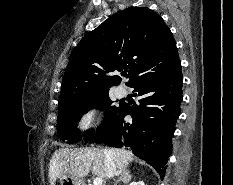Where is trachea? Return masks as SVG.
<instances>
[{
	"instance_id": "3493384b",
	"label": "trachea",
	"mask_w": 233,
	"mask_h": 185,
	"mask_svg": "<svg viewBox=\"0 0 233 185\" xmlns=\"http://www.w3.org/2000/svg\"><path fill=\"white\" fill-rule=\"evenodd\" d=\"M123 75L126 76L127 75L126 72Z\"/></svg>"
}]
</instances>
